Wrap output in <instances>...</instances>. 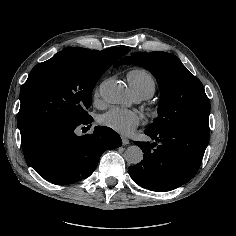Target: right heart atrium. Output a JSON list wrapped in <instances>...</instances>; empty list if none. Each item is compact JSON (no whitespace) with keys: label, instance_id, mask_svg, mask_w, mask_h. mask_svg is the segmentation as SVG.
Returning <instances> with one entry per match:
<instances>
[{"label":"right heart atrium","instance_id":"obj_1","mask_svg":"<svg viewBox=\"0 0 236 236\" xmlns=\"http://www.w3.org/2000/svg\"><path fill=\"white\" fill-rule=\"evenodd\" d=\"M99 96V91L96 92L95 97L97 98Z\"/></svg>","mask_w":236,"mask_h":236}]
</instances>
